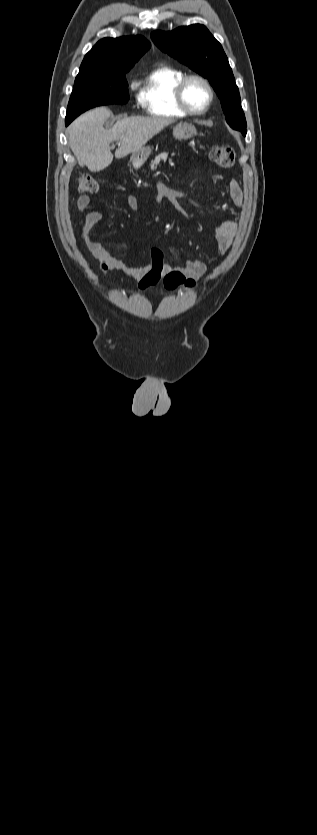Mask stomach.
<instances>
[{
	"mask_svg": "<svg viewBox=\"0 0 317 835\" xmlns=\"http://www.w3.org/2000/svg\"><path fill=\"white\" fill-rule=\"evenodd\" d=\"M197 134L195 126L189 123H179L173 128V135L179 140H189ZM152 152L150 146H143L138 152L131 156V161L135 166H141L146 162Z\"/></svg>",
	"mask_w": 317,
	"mask_h": 835,
	"instance_id": "stomach-1",
	"label": "stomach"
}]
</instances>
